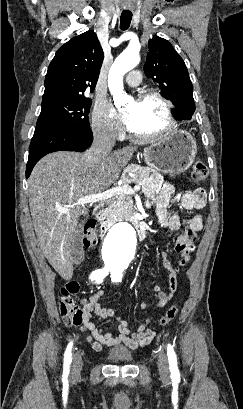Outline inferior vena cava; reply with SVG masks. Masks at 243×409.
<instances>
[{
  "label": "inferior vena cava",
  "instance_id": "inferior-vena-cava-1",
  "mask_svg": "<svg viewBox=\"0 0 243 409\" xmlns=\"http://www.w3.org/2000/svg\"><path fill=\"white\" fill-rule=\"evenodd\" d=\"M115 144L114 137L106 131H96L94 133V140L87 152L85 159L89 163H96L100 159L110 154Z\"/></svg>",
  "mask_w": 243,
  "mask_h": 409
}]
</instances>
